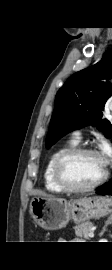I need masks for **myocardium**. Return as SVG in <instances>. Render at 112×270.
<instances>
[{
    "mask_svg": "<svg viewBox=\"0 0 112 270\" xmlns=\"http://www.w3.org/2000/svg\"><path fill=\"white\" fill-rule=\"evenodd\" d=\"M84 154H98V152L90 147H73L62 152L56 159L54 163L53 175L54 179L59 187H61L66 192L71 193H83L92 191L99 186H101L108 178V170L105 168L101 177L93 182L92 184L86 186H78L72 184L65 174V165L66 163L77 156Z\"/></svg>",
    "mask_w": 112,
    "mask_h": 270,
    "instance_id": "1",
    "label": "myocardium"
}]
</instances>
